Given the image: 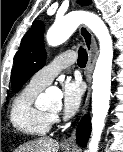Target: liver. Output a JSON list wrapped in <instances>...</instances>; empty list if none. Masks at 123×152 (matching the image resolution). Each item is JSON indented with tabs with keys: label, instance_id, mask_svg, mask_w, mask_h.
<instances>
[{
	"label": "liver",
	"instance_id": "1",
	"mask_svg": "<svg viewBox=\"0 0 123 152\" xmlns=\"http://www.w3.org/2000/svg\"><path fill=\"white\" fill-rule=\"evenodd\" d=\"M59 143L51 138L43 137L30 141L15 150V152H58Z\"/></svg>",
	"mask_w": 123,
	"mask_h": 152
}]
</instances>
